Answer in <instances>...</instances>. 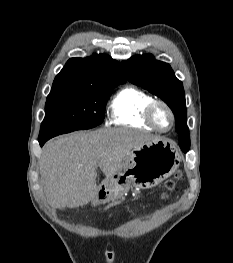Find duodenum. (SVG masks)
<instances>
[{"label": "duodenum", "mask_w": 233, "mask_h": 263, "mask_svg": "<svg viewBox=\"0 0 233 263\" xmlns=\"http://www.w3.org/2000/svg\"><path fill=\"white\" fill-rule=\"evenodd\" d=\"M98 191H99V192L97 193V200L101 201V200H103L104 197H105V196H104L105 194L101 192V191H102V186H99V187H98Z\"/></svg>", "instance_id": "1"}]
</instances>
